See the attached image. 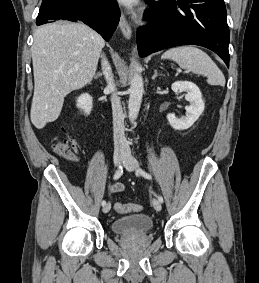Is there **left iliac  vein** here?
Returning <instances> with one entry per match:
<instances>
[{
	"label": "left iliac vein",
	"mask_w": 259,
	"mask_h": 283,
	"mask_svg": "<svg viewBox=\"0 0 259 283\" xmlns=\"http://www.w3.org/2000/svg\"><path fill=\"white\" fill-rule=\"evenodd\" d=\"M123 165L124 167L126 168V170L128 171H134L137 166H138V163L136 162V160L131 156L130 152L127 151L125 154H124V158H123ZM153 206H154V209L156 211H161L162 209V205H161V202L157 199H154L153 200Z\"/></svg>",
	"instance_id": "4c4485c4"
}]
</instances>
